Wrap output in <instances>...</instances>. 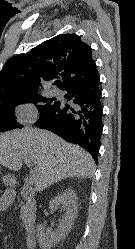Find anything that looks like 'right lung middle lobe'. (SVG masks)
<instances>
[{"mask_svg": "<svg viewBox=\"0 0 135 249\" xmlns=\"http://www.w3.org/2000/svg\"><path fill=\"white\" fill-rule=\"evenodd\" d=\"M39 101H45V105H37L41 114L50 110L54 104L52 99H43V97L34 93L13 96L0 100V132L12 130L21 127L20 124L14 121V108L21 103H38Z\"/></svg>", "mask_w": 135, "mask_h": 249, "instance_id": "dd1d6c3e", "label": "right lung middle lobe"}]
</instances>
